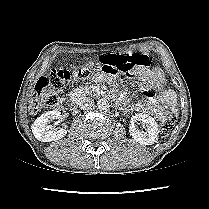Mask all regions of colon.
<instances>
[{"mask_svg":"<svg viewBox=\"0 0 209 209\" xmlns=\"http://www.w3.org/2000/svg\"><path fill=\"white\" fill-rule=\"evenodd\" d=\"M150 58L146 54H109L102 56L97 62L88 66L89 72L102 70L107 73L115 71L128 73L137 66L149 65ZM78 78L73 71L54 69L49 76L39 78L32 92L29 111L32 114L54 107L59 102V94L72 85ZM177 119L175 109L168 111L161 119L159 134L165 137L169 134L172 124Z\"/></svg>","mask_w":209,"mask_h":209,"instance_id":"obj_1","label":"colon"}]
</instances>
